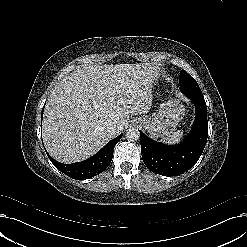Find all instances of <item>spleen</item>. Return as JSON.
Here are the masks:
<instances>
[{"label": "spleen", "instance_id": "obj_1", "mask_svg": "<svg viewBox=\"0 0 247 247\" xmlns=\"http://www.w3.org/2000/svg\"><path fill=\"white\" fill-rule=\"evenodd\" d=\"M183 136H184L183 131L178 130V131L164 137L161 141L164 143H168V144H176V143H179L181 141Z\"/></svg>", "mask_w": 247, "mask_h": 247}]
</instances>
